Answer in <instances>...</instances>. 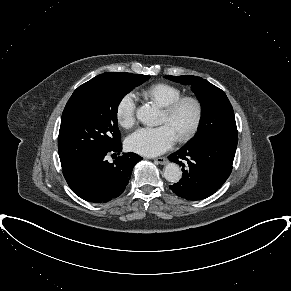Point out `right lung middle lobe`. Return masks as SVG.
Instances as JSON below:
<instances>
[{"instance_id": "dd1d6c3e", "label": "right lung middle lobe", "mask_w": 291, "mask_h": 291, "mask_svg": "<svg viewBox=\"0 0 291 291\" xmlns=\"http://www.w3.org/2000/svg\"><path fill=\"white\" fill-rule=\"evenodd\" d=\"M150 76L106 72L79 86L61 118L58 151L62 168L86 154L120 142L117 109L122 98Z\"/></svg>"}]
</instances>
